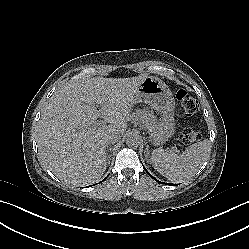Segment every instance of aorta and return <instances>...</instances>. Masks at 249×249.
<instances>
[{
    "mask_svg": "<svg viewBox=\"0 0 249 249\" xmlns=\"http://www.w3.org/2000/svg\"><path fill=\"white\" fill-rule=\"evenodd\" d=\"M140 143V138L137 135H129L126 138V144L128 147H137Z\"/></svg>",
    "mask_w": 249,
    "mask_h": 249,
    "instance_id": "obj_1",
    "label": "aorta"
}]
</instances>
